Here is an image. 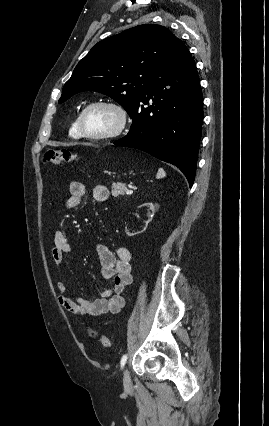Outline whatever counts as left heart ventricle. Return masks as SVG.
Masks as SVG:
<instances>
[{
	"instance_id": "1",
	"label": "left heart ventricle",
	"mask_w": 269,
	"mask_h": 426,
	"mask_svg": "<svg viewBox=\"0 0 269 426\" xmlns=\"http://www.w3.org/2000/svg\"><path fill=\"white\" fill-rule=\"evenodd\" d=\"M84 124L91 133H104L116 126L117 115L109 108L94 107L86 113Z\"/></svg>"
}]
</instances>
